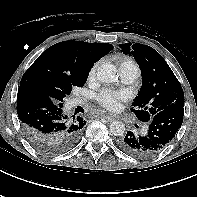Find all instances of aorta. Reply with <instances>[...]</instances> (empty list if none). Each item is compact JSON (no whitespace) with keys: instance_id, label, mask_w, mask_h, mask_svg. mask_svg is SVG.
<instances>
[{"instance_id":"aorta-1","label":"aorta","mask_w":197,"mask_h":197,"mask_svg":"<svg viewBox=\"0 0 197 197\" xmlns=\"http://www.w3.org/2000/svg\"><path fill=\"white\" fill-rule=\"evenodd\" d=\"M97 79L103 83H114L118 80L116 67L111 63L102 64L97 69ZM125 132V125L121 121H113L110 124V133L114 136H122Z\"/></svg>"}]
</instances>
